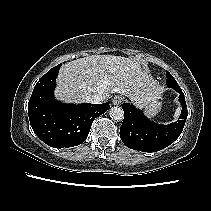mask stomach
I'll return each mask as SVG.
<instances>
[{
    "label": "stomach",
    "mask_w": 211,
    "mask_h": 211,
    "mask_svg": "<svg viewBox=\"0 0 211 211\" xmlns=\"http://www.w3.org/2000/svg\"><path fill=\"white\" fill-rule=\"evenodd\" d=\"M161 109V102L154 100L145 105V113L149 118L156 116Z\"/></svg>",
    "instance_id": "obj_1"
}]
</instances>
